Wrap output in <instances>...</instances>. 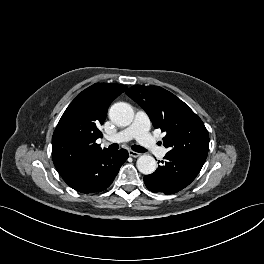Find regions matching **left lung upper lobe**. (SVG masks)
I'll return each mask as SVG.
<instances>
[{
  "label": "left lung upper lobe",
  "instance_id": "1",
  "mask_svg": "<svg viewBox=\"0 0 264 264\" xmlns=\"http://www.w3.org/2000/svg\"><path fill=\"white\" fill-rule=\"evenodd\" d=\"M126 94L150 117L153 126L166 133L163 145L168 153L204 164L209 134L202 120L178 97L159 86L135 85Z\"/></svg>",
  "mask_w": 264,
  "mask_h": 264
}]
</instances>
